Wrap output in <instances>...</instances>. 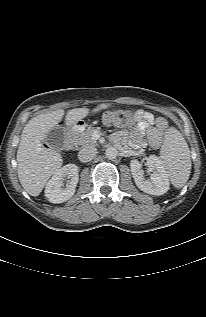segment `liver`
Segmentation results:
<instances>
[{"label": "liver", "instance_id": "obj_1", "mask_svg": "<svg viewBox=\"0 0 206 317\" xmlns=\"http://www.w3.org/2000/svg\"><path fill=\"white\" fill-rule=\"evenodd\" d=\"M109 106L100 104L92 112L97 113ZM89 113L90 110L85 107L71 109L66 113L65 123L67 126L74 125ZM64 114L65 111L59 109L37 115L22 130L17 150V172L22 187L31 196H38L48 179L62 166L60 153L43 147V142L47 133L62 121Z\"/></svg>", "mask_w": 206, "mask_h": 317}]
</instances>
